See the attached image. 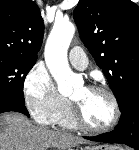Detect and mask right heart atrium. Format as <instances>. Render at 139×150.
Here are the masks:
<instances>
[{"instance_id":"obj_1","label":"right heart atrium","mask_w":139,"mask_h":150,"mask_svg":"<svg viewBox=\"0 0 139 150\" xmlns=\"http://www.w3.org/2000/svg\"><path fill=\"white\" fill-rule=\"evenodd\" d=\"M24 101L34 121L42 126L56 123L69 101L56 89L48 72L35 65L23 83Z\"/></svg>"}]
</instances>
